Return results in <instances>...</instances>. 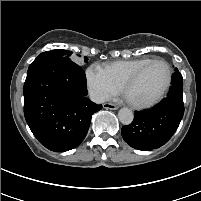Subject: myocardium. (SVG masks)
Segmentation results:
<instances>
[{"label": "myocardium", "mask_w": 201, "mask_h": 201, "mask_svg": "<svg viewBox=\"0 0 201 201\" xmlns=\"http://www.w3.org/2000/svg\"><path fill=\"white\" fill-rule=\"evenodd\" d=\"M157 62L163 63L167 67V71H168L167 81H166V84L163 87V89L159 92V94L156 97H154L153 99H151L149 101L138 102V101H133V100L129 99L127 96V91L129 89V87L139 78V76L143 73V71L146 68H148L151 64L157 63ZM172 79H173V70H172L171 65L165 59L155 58V59L148 61L147 63H145L144 65L139 67L135 72H133L124 81L121 89H122V93H123L124 97L126 98L127 102L131 106L138 108V109H143V108L151 107V106L157 104L160 100H162V98L166 95V93L168 92V90L171 87Z\"/></svg>", "instance_id": "obj_1"}]
</instances>
